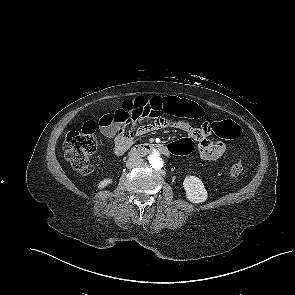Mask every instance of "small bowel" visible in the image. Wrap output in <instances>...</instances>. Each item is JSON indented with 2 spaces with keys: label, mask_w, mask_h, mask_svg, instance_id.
Masks as SVG:
<instances>
[{
  "label": "small bowel",
  "mask_w": 295,
  "mask_h": 295,
  "mask_svg": "<svg viewBox=\"0 0 295 295\" xmlns=\"http://www.w3.org/2000/svg\"><path fill=\"white\" fill-rule=\"evenodd\" d=\"M172 98L154 97L142 99L140 106L129 109L124 105L115 112L107 113L99 120L100 132L107 138L113 139V151L116 155L124 154L132 145L135 137L159 130L160 128H178L188 133L191 139L198 142V152L202 160H218L225 152V145L220 141L209 139L211 124L203 123L200 127H193L184 120L162 118L165 114H172L169 110ZM156 106H150V103ZM139 124L132 130H126L127 125Z\"/></svg>",
  "instance_id": "small-bowel-1"
}]
</instances>
